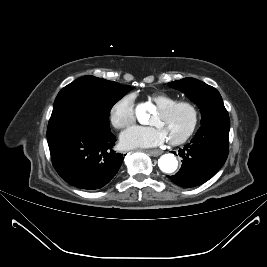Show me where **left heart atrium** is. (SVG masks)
I'll return each instance as SVG.
<instances>
[{
    "label": "left heart atrium",
    "instance_id": "39dd6f15",
    "mask_svg": "<svg viewBox=\"0 0 267 267\" xmlns=\"http://www.w3.org/2000/svg\"><path fill=\"white\" fill-rule=\"evenodd\" d=\"M167 139L164 131L157 126H134L121 135V143L126 148H148L162 144Z\"/></svg>",
    "mask_w": 267,
    "mask_h": 267
}]
</instances>
